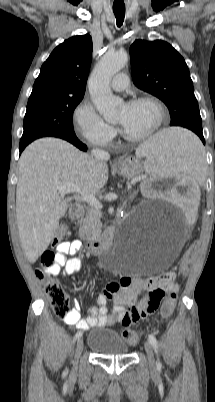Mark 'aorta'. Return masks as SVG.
<instances>
[{
    "instance_id": "762f6f07",
    "label": "aorta",
    "mask_w": 215,
    "mask_h": 402,
    "mask_svg": "<svg viewBox=\"0 0 215 402\" xmlns=\"http://www.w3.org/2000/svg\"><path fill=\"white\" fill-rule=\"evenodd\" d=\"M128 62L126 52L106 53L93 69L88 82L92 101L106 121L116 118L122 99L113 95L110 88L112 77L119 72ZM121 257L113 258L111 265L114 269L122 267Z\"/></svg>"
}]
</instances>
